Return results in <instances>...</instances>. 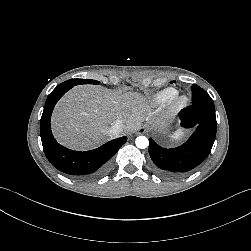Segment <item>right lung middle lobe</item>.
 Here are the masks:
<instances>
[{
  "label": "right lung middle lobe",
  "instance_id": "dd1d6c3e",
  "mask_svg": "<svg viewBox=\"0 0 251 251\" xmlns=\"http://www.w3.org/2000/svg\"><path fill=\"white\" fill-rule=\"evenodd\" d=\"M63 84H69V85H78V84H99V82L94 81V80H83V79H73V80H69Z\"/></svg>",
  "mask_w": 251,
  "mask_h": 251
}]
</instances>
